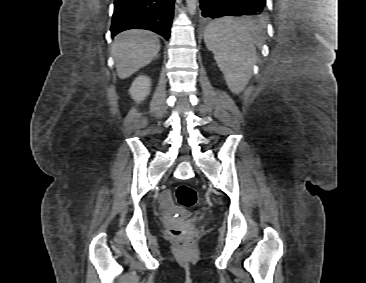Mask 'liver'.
<instances>
[{"label": "liver", "instance_id": "obj_1", "mask_svg": "<svg viewBox=\"0 0 366 283\" xmlns=\"http://www.w3.org/2000/svg\"><path fill=\"white\" fill-rule=\"evenodd\" d=\"M158 36L145 29H129L119 33L113 42L112 52L120 79L130 77L149 64L160 51Z\"/></svg>", "mask_w": 366, "mask_h": 283}]
</instances>
